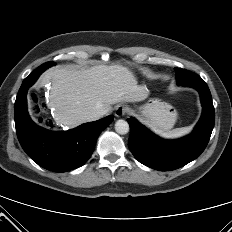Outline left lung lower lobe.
Masks as SVG:
<instances>
[{
	"instance_id": "0a47b994",
	"label": "left lung lower lobe",
	"mask_w": 232,
	"mask_h": 232,
	"mask_svg": "<svg viewBox=\"0 0 232 232\" xmlns=\"http://www.w3.org/2000/svg\"><path fill=\"white\" fill-rule=\"evenodd\" d=\"M190 76L188 81L179 86H190L199 91L203 113L189 136L163 140L136 120L127 119L130 125L129 149L139 162L150 168L159 171L178 169L199 157L208 144L215 123L211 93L200 76L192 72Z\"/></svg>"
}]
</instances>
